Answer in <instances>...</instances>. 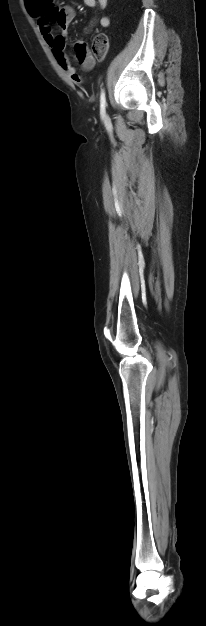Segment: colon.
<instances>
[{"label": "colon", "instance_id": "5ec220e1", "mask_svg": "<svg viewBox=\"0 0 206 626\" xmlns=\"http://www.w3.org/2000/svg\"><path fill=\"white\" fill-rule=\"evenodd\" d=\"M109 49L108 38L105 34H97L92 42V55L97 60H103Z\"/></svg>", "mask_w": 206, "mask_h": 626}]
</instances>
